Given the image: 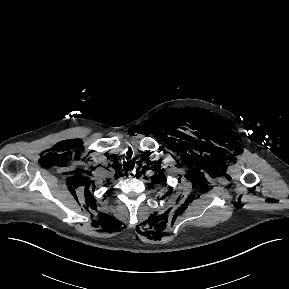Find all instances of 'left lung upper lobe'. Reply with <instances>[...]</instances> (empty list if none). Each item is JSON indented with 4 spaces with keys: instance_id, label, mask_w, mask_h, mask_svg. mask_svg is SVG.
<instances>
[{
    "instance_id": "5c2ea615",
    "label": "left lung upper lobe",
    "mask_w": 289,
    "mask_h": 289,
    "mask_svg": "<svg viewBox=\"0 0 289 289\" xmlns=\"http://www.w3.org/2000/svg\"><path fill=\"white\" fill-rule=\"evenodd\" d=\"M163 178H165L164 176H163V174L162 173H159L156 177H155V183H161L162 181H163Z\"/></svg>"
}]
</instances>
